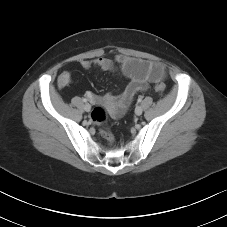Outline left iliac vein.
I'll list each match as a JSON object with an SVG mask.
<instances>
[{
  "mask_svg": "<svg viewBox=\"0 0 227 227\" xmlns=\"http://www.w3.org/2000/svg\"><path fill=\"white\" fill-rule=\"evenodd\" d=\"M142 112H143L142 107L141 106H136V108H135V114L139 116V115L142 114Z\"/></svg>",
  "mask_w": 227,
  "mask_h": 227,
  "instance_id": "1",
  "label": "left iliac vein"
}]
</instances>
